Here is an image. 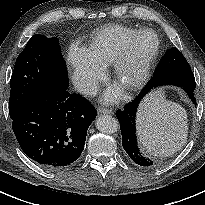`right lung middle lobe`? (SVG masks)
Instances as JSON below:
<instances>
[{
    "label": "right lung middle lobe",
    "mask_w": 205,
    "mask_h": 205,
    "mask_svg": "<svg viewBox=\"0 0 205 205\" xmlns=\"http://www.w3.org/2000/svg\"><path fill=\"white\" fill-rule=\"evenodd\" d=\"M10 82L11 119L19 115L45 89L67 88L69 80L58 39L33 35L16 59Z\"/></svg>",
    "instance_id": "right-lung-middle-lobe-1"
}]
</instances>
